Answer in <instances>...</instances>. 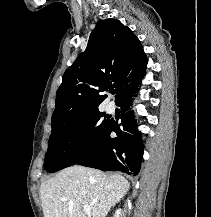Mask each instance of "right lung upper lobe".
I'll list each match as a JSON object with an SVG mask.
<instances>
[{"mask_svg":"<svg viewBox=\"0 0 211 217\" xmlns=\"http://www.w3.org/2000/svg\"><path fill=\"white\" fill-rule=\"evenodd\" d=\"M147 66L139 39L119 20H100L91 33L86 50L65 71L57 90L52 128L98 110L101 95L112 87L116 97Z\"/></svg>","mask_w":211,"mask_h":217,"instance_id":"1","label":"right lung upper lobe"}]
</instances>
